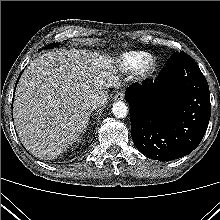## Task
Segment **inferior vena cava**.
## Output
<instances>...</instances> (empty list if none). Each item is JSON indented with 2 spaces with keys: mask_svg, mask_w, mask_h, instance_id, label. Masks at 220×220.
<instances>
[{
  "mask_svg": "<svg viewBox=\"0 0 220 220\" xmlns=\"http://www.w3.org/2000/svg\"><path fill=\"white\" fill-rule=\"evenodd\" d=\"M103 103L102 97L99 95H92L90 97V101L88 102L89 106L92 109H96L98 106H100Z\"/></svg>",
  "mask_w": 220,
  "mask_h": 220,
  "instance_id": "602c4592",
  "label": "inferior vena cava"
}]
</instances>
